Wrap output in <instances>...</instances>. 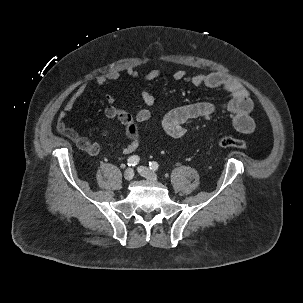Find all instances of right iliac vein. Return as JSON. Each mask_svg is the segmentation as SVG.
<instances>
[{
    "instance_id": "right-iliac-vein-1",
    "label": "right iliac vein",
    "mask_w": 303,
    "mask_h": 303,
    "mask_svg": "<svg viewBox=\"0 0 303 303\" xmlns=\"http://www.w3.org/2000/svg\"><path fill=\"white\" fill-rule=\"evenodd\" d=\"M133 177H134V171H133L132 168H128V169H126L124 171V178H125V180L130 181V180L133 179Z\"/></svg>"
}]
</instances>
